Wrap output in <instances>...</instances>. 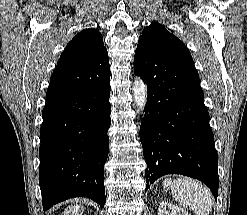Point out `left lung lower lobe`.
Returning <instances> with one entry per match:
<instances>
[{
	"mask_svg": "<svg viewBox=\"0 0 247 215\" xmlns=\"http://www.w3.org/2000/svg\"><path fill=\"white\" fill-rule=\"evenodd\" d=\"M134 72L147 83L140 127L147 186L166 174L204 182L218 195V155L209 113L192 59L138 43Z\"/></svg>",
	"mask_w": 247,
	"mask_h": 215,
	"instance_id": "1",
	"label": "left lung lower lobe"
}]
</instances>
